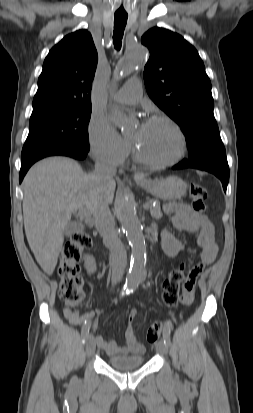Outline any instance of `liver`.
I'll use <instances>...</instances> for the list:
<instances>
[{"mask_svg":"<svg viewBox=\"0 0 253 413\" xmlns=\"http://www.w3.org/2000/svg\"><path fill=\"white\" fill-rule=\"evenodd\" d=\"M24 228L43 271L52 275L63 246V231L72 213L86 208L95 214L113 201L116 183H102L65 157L44 159L30 168L23 183Z\"/></svg>","mask_w":253,"mask_h":413,"instance_id":"liver-1","label":"liver"}]
</instances>
